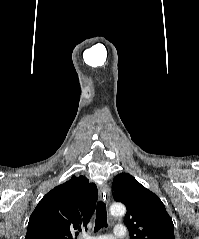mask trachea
I'll use <instances>...</instances> for the list:
<instances>
[{
  "instance_id": "1",
  "label": "trachea",
  "mask_w": 199,
  "mask_h": 239,
  "mask_svg": "<svg viewBox=\"0 0 199 239\" xmlns=\"http://www.w3.org/2000/svg\"><path fill=\"white\" fill-rule=\"evenodd\" d=\"M96 213L97 215H96L95 228H94L95 232H97L99 229L103 227H107L106 204L103 201H99L97 203Z\"/></svg>"
}]
</instances>
